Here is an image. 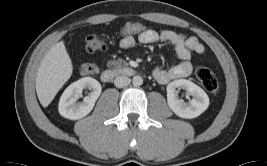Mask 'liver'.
Returning a JSON list of instances; mask_svg holds the SVG:
<instances>
[{"instance_id": "1", "label": "liver", "mask_w": 267, "mask_h": 166, "mask_svg": "<svg viewBox=\"0 0 267 166\" xmlns=\"http://www.w3.org/2000/svg\"><path fill=\"white\" fill-rule=\"evenodd\" d=\"M73 65L64 41L56 43L42 59L35 81L37 97L47 107L69 80Z\"/></svg>"}]
</instances>
